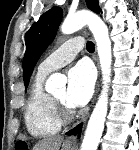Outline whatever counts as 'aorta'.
Returning a JSON list of instances; mask_svg holds the SVG:
<instances>
[{
    "instance_id": "762f6f07",
    "label": "aorta",
    "mask_w": 139,
    "mask_h": 150,
    "mask_svg": "<svg viewBox=\"0 0 139 150\" xmlns=\"http://www.w3.org/2000/svg\"><path fill=\"white\" fill-rule=\"evenodd\" d=\"M85 25L89 27L97 45L103 87L89 119L81 150H97L106 120L108 89L111 80L112 52L109 31L103 20L91 11H79L75 14L68 15L61 26V31L64 34H71ZM65 82V79L54 74L48 79L46 88L48 91H51L58 84L65 85Z\"/></svg>"
}]
</instances>
